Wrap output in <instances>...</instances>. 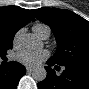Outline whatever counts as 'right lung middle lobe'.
I'll return each mask as SVG.
<instances>
[{
    "label": "right lung middle lobe",
    "instance_id": "right-lung-middle-lobe-1",
    "mask_svg": "<svg viewBox=\"0 0 89 89\" xmlns=\"http://www.w3.org/2000/svg\"><path fill=\"white\" fill-rule=\"evenodd\" d=\"M12 41V38L0 36V54H6V51L12 48Z\"/></svg>",
    "mask_w": 89,
    "mask_h": 89
}]
</instances>
